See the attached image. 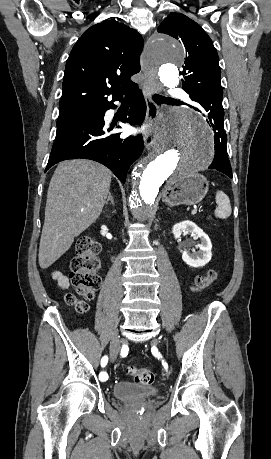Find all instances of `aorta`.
Wrapping results in <instances>:
<instances>
[{
  "mask_svg": "<svg viewBox=\"0 0 271 459\" xmlns=\"http://www.w3.org/2000/svg\"><path fill=\"white\" fill-rule=\"evenodd\" d=\"M147 58L165 86L178 85L177 66L183 62L184 50L177 40L164 35L153 38ZM212 160V135L204 119L190 110L167 107L153 151L132 172L129 202L133 218L139 223L152 221L160 186L204 170Z\"/></svg>",
  "mask_w": 271,
  "mask_h": 459,
  "instance_id": "762f6f07",
  "label": "aorta"
}]
</instances>
